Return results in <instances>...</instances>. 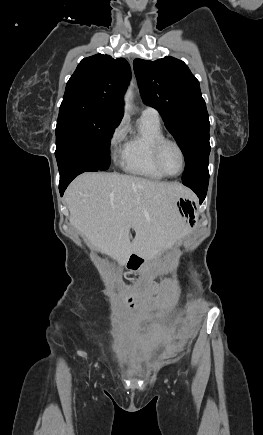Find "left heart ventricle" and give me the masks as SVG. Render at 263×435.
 Here are the masks:
<instances>
[{
	"mask_svg": "<svg viewBox=\"0 0 263 435\" xmlns=\"http://www.w3.org/2000/svg\"><path fill=\"white\" fill-rule=\"evenodd\" d=\"M161 163L169 174L180 172L182 167L181 155L174 145L167 144L164 146L161 153Z\"/></svg>",
	"mask_w": 263,
	"mask_h": 435,
	"instance_id": "1",
	"label": "left heart ventricle"
}]
</instances>
